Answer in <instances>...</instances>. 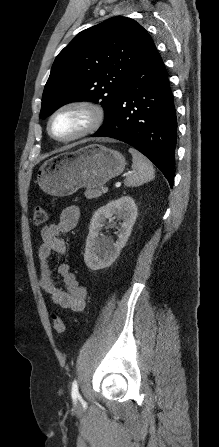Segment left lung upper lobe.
Here are the masks:
<instances>
[{
  "instance_id": "1",
  "label": "left lung upper lobe",
  "mask_w": 219,
  "mask_h": 447,
  "mask_svg": "<svg viewBox=\"0 0 219 447\" xmlns=\"http://www.w3.org/2000/svg\"><path fill=\"white\" fill-rule=\"evenodd\" d=\"M150 40L142 26L126 17H112L80 32L54 61L40 118L70 102L93 101L103 106L106 120Z\"/></svg>"
}]
</instances>
